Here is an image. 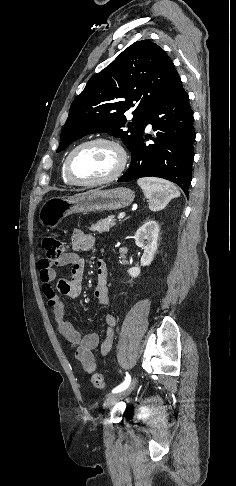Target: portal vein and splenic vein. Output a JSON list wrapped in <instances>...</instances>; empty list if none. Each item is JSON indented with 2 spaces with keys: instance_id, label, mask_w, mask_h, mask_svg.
Listing matches in <instances>:
<instances>
[{
  "instance_id": "portal-vein-and-splenic-vein-1",
  "label": "portal vein and splenic vein",
  "mask_w": 236,
  "mask_h": 486,
  "mask_svg": "<svg viewBox=\"0 0 236 486\" xmlns=\"http://www.w3.org/2000/svg\"><path fill=\"white\" fill-rule=\"evenodd\" d=\"M124 217H125V213H124V212H122V213H120V214L118 215V219H119V220H120V219H123Z\"/></svg>"
}]
</instances>
